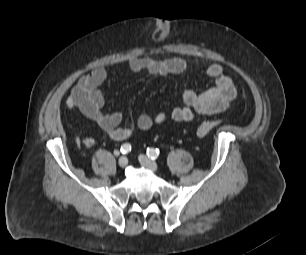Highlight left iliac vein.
<instances>
[{
  "label": "left iliac vein",
  "mask_w": 306,
  "mask_h": 255,
  "mask_svg": "<svg viewBox=\"0 0 306 255\" xmlns=\"http://www.w3.org/2000/svg\"><path fill=\"white\" fill-rule=\"evenodd\" d=\"M139 162L141 163L142 166L145 168L152 170V171H158V165L156 162L151 160L149 157L145 155H140L139 156Z\"/></svg>",
  "instance_id": "obj_1"
}]
</instances>
